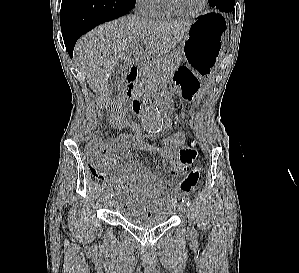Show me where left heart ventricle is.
Instances as JSON below:
<instances>
[{
  "label": "left heart ventricle",
  "instance_id": "b2bd125f",
  "mask_svg": "<svg viewBox=\"0 0 299 273\" xmlns=\"http://www.w3.org/2000/svg\"><path fill=\"white\" fill-rule=\"evenodd\" d=\"M176 5L186 12L196 11L202 3V0H174Z\"/></svg>",
  "mask_w": 299,
  "mask_h": 273
}]
</instances>
